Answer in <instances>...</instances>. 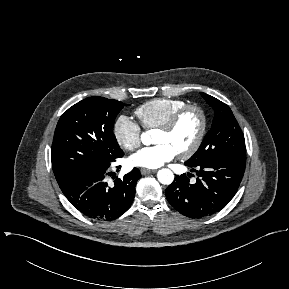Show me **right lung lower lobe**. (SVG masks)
<instances>
[{
	"label": "right lung lower lobe",
	"instance_id": "right-lung-lower-lobe-1",
	"mask_svg": "<svg viewBox=\"0 0 289 289\" xmlns=\"http://www.w3.org/2000/svg\"><path fill=\"white\" fill-rule=\"evenodd\" d=\"M109 166L77 173L59 185L68 201L89 218L114 220L128 210L134 200L140 171L134 168L123 179L117 178L114 186H109L105 179Z\"/></svg>",
	"mask_w": 289,
	"mask_h": 289
}]
</instances>
